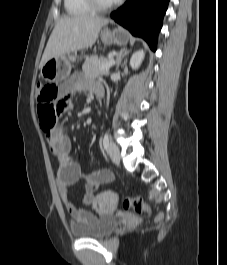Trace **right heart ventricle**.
Returning <instances> with one entry per match:
<instances>
[{
	"mask_svg": "<svg viewBox=\"0 0 227 265\" xmlns=\"http://www.w3.org/2000/svg\"><path fill=\"white\" fill-rule=\"evenodd\" d=\"M64 7L71 16L90 14L94 11L86 0H64Z\"/></svg>",
	"mask_w": 227,
	"mask_h": 265,
	"instance_id": "e07e8e85",
	"label": "right heart ventricle"
}]
</instances>
